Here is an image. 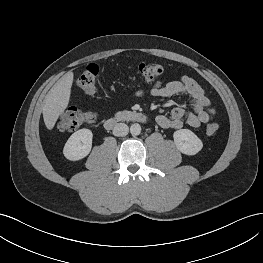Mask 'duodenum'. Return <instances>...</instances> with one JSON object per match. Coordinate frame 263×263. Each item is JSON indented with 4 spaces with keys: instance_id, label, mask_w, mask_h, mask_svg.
I'll return each mask as SVG.
<instances>
[{
    "instance_id": "obj_1",
    "label": "duodenum",
    "mask_w": 263,
    "mask_h": 263,
    "mask_svg": "<svg viewBox=\"0 0 263 263\" xmlns=\"http://www.w3.org/2000/svg\"><path fill=\"white\" fill-rule=\"evenodd\" d=\"M124 121H133V122L145 123L147 121V116H146V114H144L142 112L132 111V112L127 113V114L108 117L104 121V126L107 129H111V128L115 127L116 125H118Z\"/></svg>"
}]
</instances>
